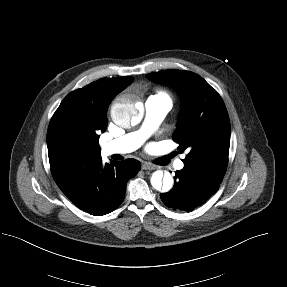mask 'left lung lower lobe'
<instances>
[{
  "instance_id": "left-lung-lower-lobe-1",
  "label": "left lung lower lobe",
  "mask_w": 287,
  "mask_h": 287,
  "mask_svg": "<svg viewBox=\"0 0 287 287\" xmlns=\"http://www.w3.org/2000/svg\"><path fill=\"white\" fill-rule=\"evenodd\" d=\"M174 180L173 188L160 195L161 200L170 208L187 212L206 202L220 185L200 169L186 164L176 171Z\"/></svg>"
}]
</instances>
